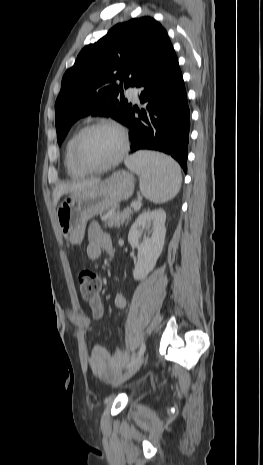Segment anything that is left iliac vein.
Returning <instances> with one entry per match:
<instances>
[{
  "label": "left iliac vein",
  "instance_id": "1",
  "mask_svg": "<svg viewBox=\"0 0 263 465\" xmlns=\"http://www.w3.org/2000/svg\"><path fill=\"white\" fill-rule=\"evenodd\" d=\"M146 359L145 355H142L134 364L131 365V367L114 383V386H118L125 381H127L129 378H131L142 366Z\"/></svg>",
  "mask_w": 263,
  "mask_h": 465
}]
</instances>
